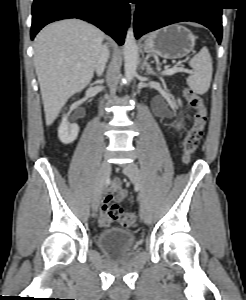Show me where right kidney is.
Here are the masks:
<instances>
[{
    "mask_svg": "<svg viewBox=\"0 0 246 300\" xmlns=\"http://www.w3.org/2000/svg\"><path fill=\"white\" fill-rule=\"evenodd\" d=\"M79 127L77 124L69 123L64 117L58 129V137L63 144L72 143L78 136Z\"/></svg>",
    "mask_w": 246,
    "mask_h": 300,
    "instance_id": "ca27d5eb",
    "label": "right kidney"
}]
</instances>
